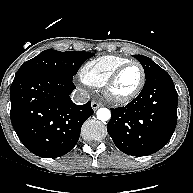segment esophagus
<instances>
[{
	"mask_svg": "<svg viewBox=\"0 0 193 193\" xmlns=\"http://www.w3.org/2000/svg\"><path fill=\"white\" fill-rule=\"evenodd\" d=\"M91 106L93 110H97L99 107L102 106V104L96 101H92Z\"/></svg>",
	"mask_w": 193,
	"mask_h": 193,
	"instance_id": "esophagus-1",
	"label": "esophagus"
}]
</instances>
